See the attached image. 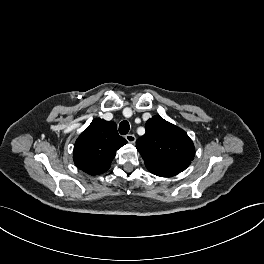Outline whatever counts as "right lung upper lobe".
<instances>
[{
    "label": "right lung upper lobe",
    "instance_id": "obj_1",
    "mask_svg": "<svg viewBox=\"0 0 264 264\" xmlns=\"http://www.w3.org/2000/svg\"><path fill=\"white\" fill-rule=\"evenodd\" d=\"M126 143L114 122L94 119L76 140L75 165L90 175L104 173L110 168L116 151Z\"/></svg>",
    "mask_w": 264,
    "mask_h": 264
}]
</instances>
